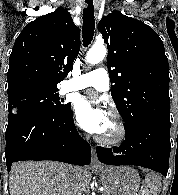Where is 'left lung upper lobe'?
Segmentation results:
<instances>
[{
	"label": "left lung upper lobe",
	"mask_w": 178,
	"mask_h": 195,
	"mask_svg": "<svg viewBox=\"0 0 178 195\" xmlns=\"http://www.w3.org/2000/svg\"><path fill=\"white\" fill-rule=\"evenodd\" d=\"M98 28L108 46L111 95L125 128L141 121L170 124L168 59L156 32L117 10L102 17Z\"/></svg>",
	"instance_id": "1"
}]
</instances>
